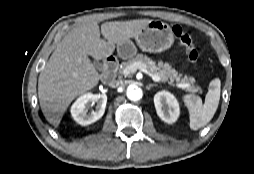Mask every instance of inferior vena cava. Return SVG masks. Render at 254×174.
Wrapping results in <instances>:
<instances>
[{"mask_svg":"<svg viewBox=\"0 0 254 174\" xmlns=\"http://www.w3.org/2000/svg\"><path fill=\"white\" fill-rule=\"evenodd\" d=\"M123 81L122 80H114L112 81L109 85L112 87V88H119V87H122L123 86Z\"/></svg>","mask_w":254,"mask_h":174,"instance_id":"obj_1","label":"inferior vena cava"}]
</instances>
